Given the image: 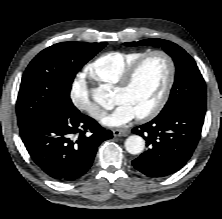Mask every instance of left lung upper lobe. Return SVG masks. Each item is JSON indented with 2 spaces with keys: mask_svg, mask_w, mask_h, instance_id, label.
Masks as SVG:
<instances>
[{
  "mask_svg": "<svg viewBox=\"0 0 222 219\" xmlns=\"http://www.w3.org/2000/svg\"><path fill=\"white\" fill-rule=\"evenodd\" d=\"M125 45L162 47L173 58L176 66L175 82L170 98L162 111H166L176 105H188L199 110L206 109L204 79L194 59L184 49L173 42L158 38L127 42Z\"/></svg>",
  "mask_w": 222,
  "mask_h": 219,
  "instance_id": "5c2ea615",
  "label": "left lung upper lobe"
}]
</instances>
